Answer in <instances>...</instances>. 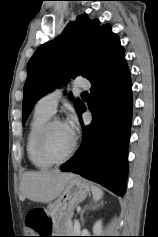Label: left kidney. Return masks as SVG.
Instances as JSON below:
<instances>
[{
	"label": "left kidney",
	"instance_id": "left-kidney-1",
	"mask_svg": "<svg viewBox=\"0 0 158 237\" xmlns=\"http://www.w3.org/2000/svg\"><path fill=\"white\" fill-rule=\"evenodd\" d=\"M93 233L95 236H100L102 233V221L98 220L93 226Z\"/></svg>",
	"mask_w": 158,
	"mask_h": 237
}]
</instances>
